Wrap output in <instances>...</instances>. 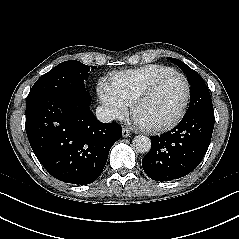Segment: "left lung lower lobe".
<instances>
[{"label": "left lung lower lobe", "mask_w": 239, "mask_h": 239, "mask_svg": "<svg viewBox=\"0 0 239 239\" xmlns=\"http://www.w3.org/2000/svg\"><path fill=\"white\" fill-rule=\"evenodd\" d=\"M214 110L184 116L171 131L151 137V149L142 159L145 173L156 181H171L192 172L211 141Z\"/></svg>", "instance_id": "0a47b994"}]
</instances>
